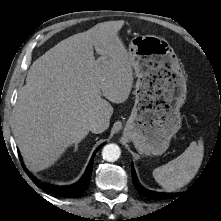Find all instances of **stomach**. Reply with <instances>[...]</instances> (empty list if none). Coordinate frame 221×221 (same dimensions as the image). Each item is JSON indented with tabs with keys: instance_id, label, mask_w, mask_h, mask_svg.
<instances>
[{
	"instance_id": "0dacf381",
	"label": "stomach",
	"mask_w": 221,
	"mask_h": 221,
	"mask_svg": "<svg viewBox=\"0 0 221 221\" xmlns=\"http://www.w3.org/2000/svg\"><path fill=\"white\" fill-rule=\"evenodd\" d=\"M128 53L137 82L124 135L140 154L161 155L181 127L186 78L173 48L163 38L135 36Z\"/></svg>"
}]
</instances>
